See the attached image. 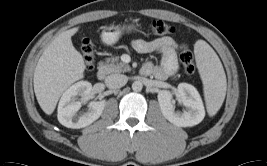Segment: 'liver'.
I'll list each match as a JSON object with an SVG mask.
<instances>
[{"label": "liver", "mask_w": 267, "mask_h": 166, "mask_svg": "<svg viewBox=\"0 0 267 166\" xmlns=\"http://www.w3.org/2000/svg\"><path fill=\"white\" fill-rule=\"evenodd\" d=\"M79 27L59 34L44 50L34 71V92L41 109L51 115L62 93L84 77L85 64L72 44Z\"/></svg>", "instance_id": "6515ba94"}]
</instances>
